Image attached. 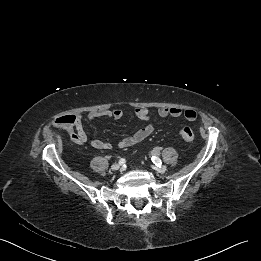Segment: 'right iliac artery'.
I'll return each instance as SVG.
<instances>
[{
	"label": "right iliac artery",
	"mask_w": 261,
	"mask_h": 261,
	"mask_svg": "<svg viewBox=\"0 0 261 261\" xmlns=\"http://www.w3.org/2000/svg\"><path fill=\"white\" fill-rule=\"evenodd\" d=\"M125 162H126V160H125L124 158H121V159L119 160V164H120V165L124 164Z\"/></svg>",
	"instance_id": "82829eb1"
}]
</instances>
